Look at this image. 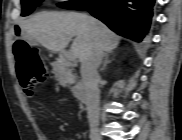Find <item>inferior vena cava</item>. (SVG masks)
I'll return each mask as SVG.
<instances>
[{"instance_id": "inferior-vena-cava-1", "label": "inferior vena cava", "mask_w": 182, "mask_h": 140, "mask_svg": "<svg viewBox=\"0 0 182 140\" xmlns=\"http://www.w3.org/2000/svg\"><path fill=\"white\" fill-rule=\"evenodd\" d=\"M102 57L103 51L95 48L81 65L85 104L91 132L95 130L99 121V74L97 70L102 61Z\"/></svg>"}]
</instances>
